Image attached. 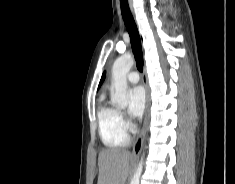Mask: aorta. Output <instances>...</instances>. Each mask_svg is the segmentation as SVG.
Listing matches in <instances>:
<instances>
[{"mask_svg": "<svg viewBox=\"0 0 235 184\" xmlns=\"http://www.w3.org/2000/svg\"><path fill=\"white\" fill-rule=\"evenodd\" d=\"M134 64L132 56H121L113 64L111 84L114 88V94L111 102L119 106V108H126L129 104V92L127 86V74ZM143 172V156L139 166L131 180V184H140L141 174Z\"/></svg>", "mask_w": 235, "mask_h": 184, "instance_id": "1", "label": "aorta"}]
</instances>
